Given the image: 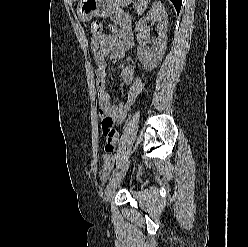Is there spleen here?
<instances>
[{"label": "spleen", "mask_w": 248, "mask_h": 247, "mask_svg": "<svg viewBox=\"0 0 248 247\" xmlns=\"http://www.w3.org/2000/svg\"><path fill=\"white\" fill-rule=\"evenodd\" d=\"M149 2L150 0H137L136 11L138 15H141L144 13Z\"/></svg>", "instance_id": "spleen-1"}]
</instances>
